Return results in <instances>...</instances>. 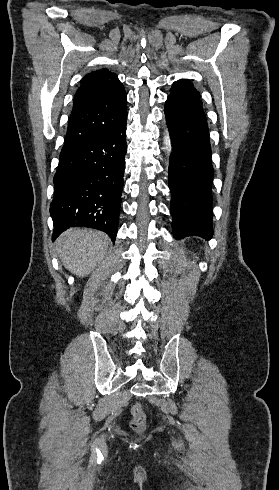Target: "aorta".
Masks as SVG:
<instances>
[{"label":"aorta","mask_w":279,"mask_h":490,"mask_svg":"<svg viewBox=\"0 0 279 490\" xmlns=\"http://www.w3.org/2000/svg\"><path fill=\"white\" fill-rule=\"evenodd\" d=\"M164 144L166 145V148L171 151V141L169 135L164 137Z\"/></svg>","instance_id":"1"}]
</instances>
